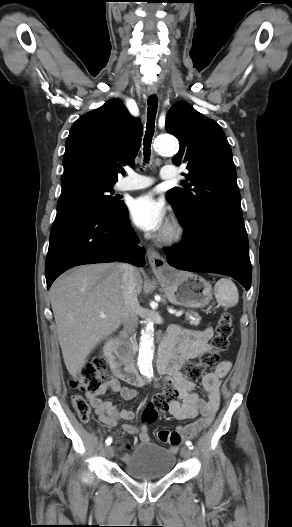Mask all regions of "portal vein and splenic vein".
<instances>
[{
  "label": "portal vein and splenic vein",
  "mask_w": 292,
  "mask_h": 527,
  "mask_svg": "<svg viewBox=\"0 0 292 527\" xmlns=\"http://www.w3.org/2000/svg\"><path fill=\"white\" fill-rule=\"evenodd\" d=\"M183 314V311H178L175 313L176 317H180ZM101 318H105L106 316L104 314L100 315Z\"/></svg>",
  "instance_id": "1"
}]
</instances>
